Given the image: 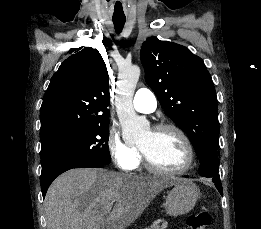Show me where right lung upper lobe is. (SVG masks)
<instances>
[{
  "label": "right lung upper lobe",
  "instance_id": "cb5924a9",
  "mask_svg": "<svg viewBox=\"0 0 261 229\" xmlns=\"http://www.w3.org/2000/svg\"><path fill=\"white\" fill-rule=\"evenodd\" d=\"M108 71L91 47L67 58L53 75L40 110L42 149L71 140L109 119Z\"/></svg>",
  "mask_w": 261,
  "mask_h": 229
}]
</instances>
